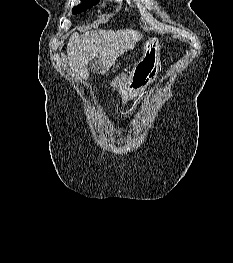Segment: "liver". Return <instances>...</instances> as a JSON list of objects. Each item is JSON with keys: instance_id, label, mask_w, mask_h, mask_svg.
Wrapping results in <instances>:
<instances>
[{"instance_id": "1", "label": "liver", "mask_w": 233, "mask_h": 263, "mask_svg": "<svg viewBox=\"0 0 233 263\" xmlns=\"http://www.w3.org/2000/svg\"><path fill=\"white\" fill-rule=\"evenodd\" d=\"M142 34L133 29L91 30L83 34L73 33L67 44L70 70L80 80L88 78V64L95 58L99 60L97 72L105 74L118 57L132 50Z\"/></svg>"}]
</instances>
